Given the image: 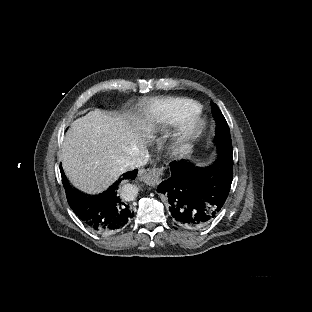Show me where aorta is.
Instances as JSON below:
<instances>
[{"label": "aorta", "mask_w": 312, "mask_h": 312, "mask_svg": "<svg viewBox=\"0 0 312 312\" xmlns=\"http://www.w3.org/2000/svg\"><path fill=\"white\" fill-rule=\"evenodd\" d=\"M129 187V193H130V197L133 199H135V197L137 196L138 194V188L136 186H133V185H125L124 186V189L126 190V188Z\"/></svg>", "instance_id": "1"}]
</instances>
